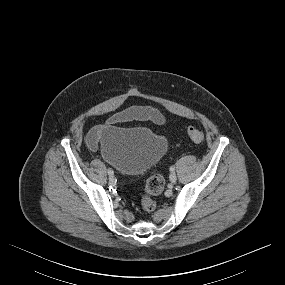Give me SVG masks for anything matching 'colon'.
<instances>
[{
	"mask_svg": "<svg viewBox=\"0 0 285 285\" xmlns=\"http://www.w3.org/2000/svg\"><path fill=\"white\" fill-rule=\"evenodd\" d=\"M188 137L195 143H201L204 140V133L200 128L189 127L187 129ZM164 188V179L160 175L151 176L145 186L138 187L137 193L141 197L142 208L146 212H153L156 209L154 197L162 192Z\"/></svg>",
	"mask_w": 285,
	"mask_h": 285,
	"instance_id": "5ec220e1",
	"label": "colon"
}]
</instances>
